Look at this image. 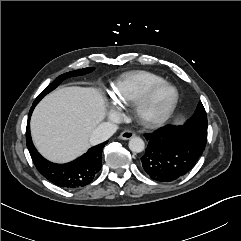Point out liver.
Segmentation results:
<instances>
[{"mask_svg": "<svg viewBox=\"0 0 241 241\" xmlns=\"http://www.w3.org/2000/svg\"><path fill=\"white\" fill-rule=\"evenodd\" d=\"M105 115V100L98 90L85 87L55 90L40 101L32 114L33 142L50 161H72L87 151L90 135Z\"/></svg>", "mask_w": 241, "mask_h": 241, "instance_id": "liver-1", "label": "liver"}]
</instances>
